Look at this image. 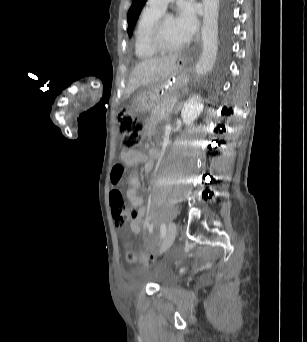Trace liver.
Listing matches in <instances>:
<instances>
[{"mask_svg":"<svg viewBox=\"0 0 307 342\" xmlns=\"http://www.w3.org/2000/svg\"><path fill=\"white\" fill-rule=\"evenodd\" d=\"M177 54L174 56H163V58H147L144 62H139L133 68L128 84L125 88V96L129 98L140 86H154V84H161L177 62Z\"/></svg>","mask_w":307,"mask_h":342,"instance_id":"liver-1","label":"liver"}]
</instances>
